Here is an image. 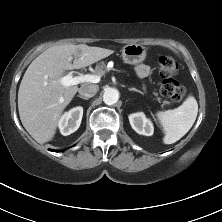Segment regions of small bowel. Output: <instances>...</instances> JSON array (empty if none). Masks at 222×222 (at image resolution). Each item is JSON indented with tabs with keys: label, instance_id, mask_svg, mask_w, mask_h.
I'll list each match as a JSON object with an SVG mask.
<instances>
[{
	"label": "small bowel",
	"instance_id": "1",
	"mask_svg": "<svg viewBox=\"0 0 222 222\" xmlns=\"http://www.w3.org/2000/svg\"><path fill=\"white\" fill-rule=\"evenodd\" d=\"M136 73L140 77H147L148 75L151 74V68L146 64H140L136 67Z\"/></svg>",
	"mask_w": 222,
	"mask_h": 222
}]
</instances>
